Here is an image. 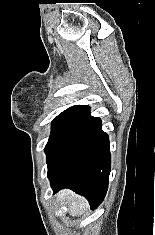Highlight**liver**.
Segmentation results:
<instances>
[{"label": "liver", "mask_w": 155, "mask_h": 235, "mask_svg": "<svg viewBox=\"0 0 155 235\" xmlns=\"http://www.w3.org/2000/svg\"><path fill=\"white\" fill-rule=\"evenodd\" d=\"M59 201H64L68 205V211L71 216H79L88 208L87 201L80 196L73 194L69 190H63L57 195Z\"/></svg>", "instance_id": "liver-1"}]
</instances>
